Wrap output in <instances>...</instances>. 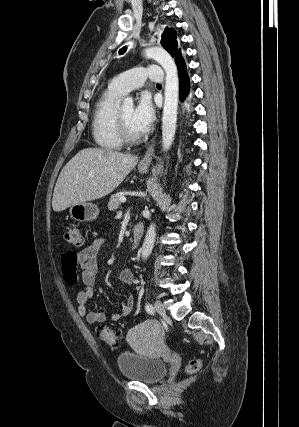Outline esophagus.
Masks as SVG:
<instances>
[{
    "mask_svg": "<svg viewBox=\"0 0 299 427\" xmlns=\"http://www.w3.org/2000/svg\"><path fill=\"white\" fill-rule=\"evenodd\" d=\"M153 155H154V143L151 144L147 148V150H146V152H145V154L141 160V165L142 166H148L151 163Z\"/></svg>",
    "mask_w": 299,
    "mask_h": 427,
    "instance_id": "1",
    "label": "esophagus"
}]
</instances>
